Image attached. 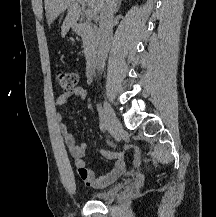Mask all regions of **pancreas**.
Masks as SVG:
<instances>
[{
	"label": "pancreas",
	"instance_id": "1",
	"mask_svg": "<svg viewBox=\"0 0 216 217\" xmlns=\"http://www.w3.org/2000/svg\"><path fill=\"white\" fill-rule=\"evenodd\" d=\"M81 38L83 41V47L85 51L93 47L96 40V28L95 26L85 23L81 27Z\"/></svg>",
	"mask_w": 216,
	"mask_h": 217
}]
</instances>
